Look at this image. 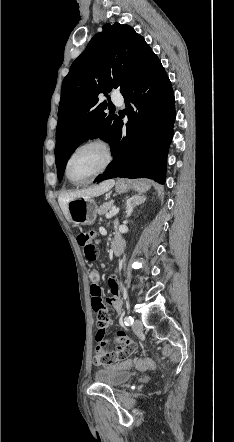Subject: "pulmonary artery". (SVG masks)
Listing matches in <instances>:
<instances>
[{"label": "pulmonary artery", "instance_id": "pulmonary-artery-1", "mask_svg": "<svg viewBox=\"0 0 234 442\" xmlns=\"http://www.w3.org/2000/svg\"><path fill=\"white\" fill-rule=\"evenodd\" d=\"M112 102L117 104V105H122L123 104V98L120 95H115L112 97Z\"/></svg>", "mask_w": 234, "mask_h": 442}]
</instances>
